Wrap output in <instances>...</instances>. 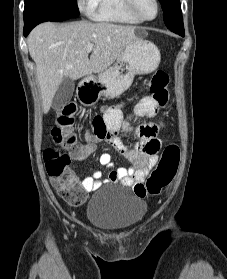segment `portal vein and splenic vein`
Wrapping results in <instances>:
<instances>
[{"label":"portal vein and splenic vein","mask_w":227,"mask_h":279,"mask_svg":"<svg viewBox=\"0 0 227 279\" xmlns=\"http://www.w3.org/2000/svg\"><path fill=\"white\" fill-rule=\"evenodd\" d=\"M94 49V46L92 44H88L86 47V51L89 53Z\"/></svg>","instance_id":"obj_1"}]
</instances>
